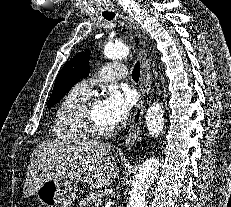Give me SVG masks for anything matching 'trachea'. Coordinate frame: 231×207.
<instances>
[{
	"label": "trachea",
	"instance_id": "3493384b",
	"mask_svg": "<svg viewBox=\"0 0 231 207\" xmlns=\"http://www.w3.org/2000/svg\"><path fill=\"white\" fill-rule=\"evenodd\" d=\"M105 19L107 20H112L114 17H115V14L114 13H109V14H105L103 16ZM140 63L139 61L135 64L134 68H133V71H132V79L136 82L139 81V78H140Z\"/></svg>",
	"mask_w": 231,
	"mask_h": 207
}]
</instances>
